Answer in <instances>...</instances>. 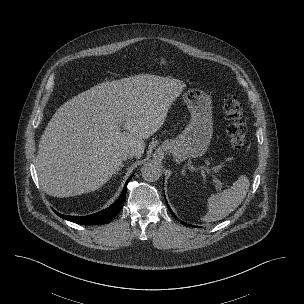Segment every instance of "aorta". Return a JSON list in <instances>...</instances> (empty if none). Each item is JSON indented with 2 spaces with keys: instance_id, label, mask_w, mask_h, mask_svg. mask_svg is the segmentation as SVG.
<instances>
[{
  "instance_id": "1",
  "label": "aorta",
  "mask_w": 304,
  "mask_h": 304,
  "mask_svg": "<svg viewBox=\"0 0 304 304\" xmlns=\"http://www.w3.org/2000/svg\"><path fill=\"white\" fill-rule=\"evenodd\" d=\"M142 177L149 182L158 180L162 175V169L158 162H147L141 168Z\"/></svg>"
}]
</instances>
